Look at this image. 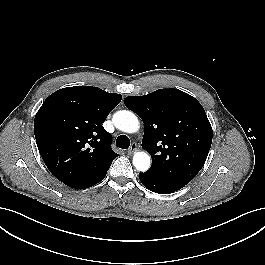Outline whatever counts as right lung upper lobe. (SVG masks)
Segmentation results:
<instances>
[{
	"mask_svg": "<svg viewBox=\"0 0 265 265\" xmlns=\"http://www.w3.org/2000/svg\"><path fill=\"white\" fill-rule=\"evenodd\" d=\"M122 96L97 87L74 86L51 94L34 119L40 155L49 171L66 185L97 177L118 156L102 126Z\"/></svg>",
	"mask_w": 265,
	"mask_h": 265,
	"instance_id": "1",
	"label": "right lung upper lobe"
}]
</instances>
